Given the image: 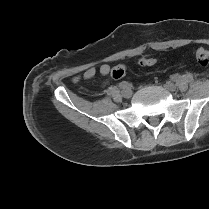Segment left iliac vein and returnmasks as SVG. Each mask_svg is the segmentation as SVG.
Instances as JSON below:
<instances>
[{
	"instance_id": "left-iliac-vein-1",
	"label": "left iliac vein",
	"mask_w": 209,
	"mask_h": 209,
	"mask_svg": "<svg viewBox=\"0 0 209 209\" xmlns=\"http://www.w3.org/2000/svg\"><path fill=\"white\" fill-rule=\"evenodd\" d=\"M164 87H165V89H167L168 91H171V92H174L176 90V85L170 81L166 82Z\"/></svg>"
}]
</instances>
